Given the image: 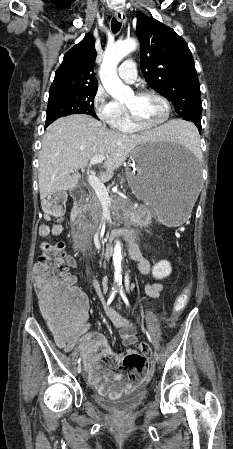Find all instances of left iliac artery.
<instances>
[{
    "label": "left iliac artery",
    "instance_id": "1",
    "mask_svg": "<svg viewBox=\"0 0 233 449\" xmlns=\"http://www.w3.org/2000/svg\"><path fill=\"white\" fill-rule=\"evenodd\" d=\"M120 295H121L122 299L124 300V302L126 303V305L129 306L128 299H127L126 295L124 294V292H123V290H122V287L120 288ZM142 330H143V332L146 334V336H147L149 342L153 343V340H152L150 334L146 331V329H145L144 327H142Z\"/></svg>",
    "mask_w": 233,
    "mask_h": 449
}]
</instances>
